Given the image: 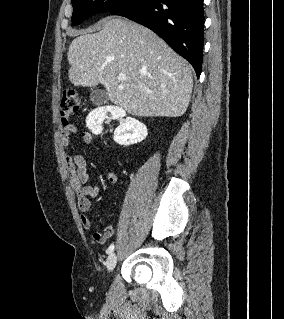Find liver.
I'll use <instances>...</instances> for the list:
<instances>
[{
  "label": "liver",
  "instance_id": "liver-1",
  "mask_svg": "<svg viewBox=\"0 0 284 319\" xmlns=\"http://www.w3.org/2000/svg\"><path fill=\"white\" fill-rule=\"evenodd\" d=\"M67 57L72 84L104 85L109 100L132 115L178 117L188 108L190 65L154 32L128 19L110 17L99 32L81 33Z\"/></svg>",
  "mask_w": 284,
  "mask_h": 319
}]
</instances>
